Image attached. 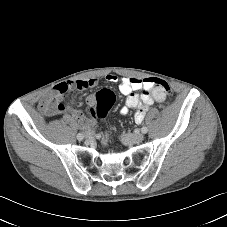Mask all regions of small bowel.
<instances>
[{
  "instance_id": "obj_1",
  "label": "small bowel",
  "mask_w": 227,
  "mask_h": 227,
  "mask_svg": "<svg viewBox=\"0 0 227 227\" xmlns=\"http://www.w3.org/2000/svg\"><path fill=\"white\" fill-rule=\"evenodd\" d=\"M105 79L109 83H118L120 93L125 96V105L121 108L120 114L126 115L131 109H135V121L137 123L144 120L150 106L154 103H162L166 98V93L159 86L150 84L151 78L119 77L115 74H108ZM97 85L98 79L96 78L60 83L43 96L40 109L47 116L67 112L79 121L82 128L87 129L92 125V121L81 110L65 105L62 102V96L73 88L85 89ZM94 100L95 96L90 95L87 98V104L92 106Z\"/></svg>"
}]
</instances>
